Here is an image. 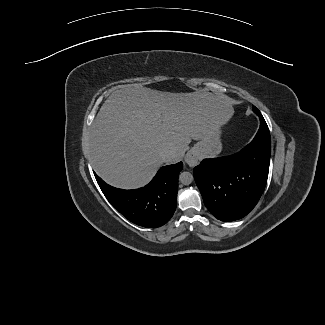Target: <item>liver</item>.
I'll return each instance as SVG.
<instances>
[{
	"label": "liver",
	"mask_w": 325,
	"mask_h": 325,
	"mask_svg": "<svg viewBox=\"0 0 325 325\" xmlns=\"http://www.w3.org/2000/svg\"><path fill=\"white\" fill-rule=\"evenodd\" d=\"M232 115V102L221 95L123 86L110 94L91 125L92 166L112 186H144L164 163L163 151L173 152L168 163L180 161L192 139L218 130Z\"/></svg>",
	"instance_id": "1"
}]
</instances>
